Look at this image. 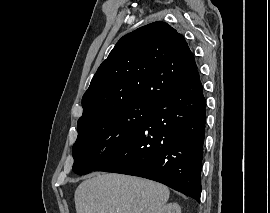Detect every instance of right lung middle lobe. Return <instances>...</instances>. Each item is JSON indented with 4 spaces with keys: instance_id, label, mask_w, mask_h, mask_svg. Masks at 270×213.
<instances>
[{
    "instance_id": "dd1d6c3e",
    "label": "right lung middle lobe",
    "mask_w": 270,
    "mask_h": 213,
    "mask_svg": "<svg viewBox=\"0 0 270 213\" xmlns=\"http://www.w3.org/2000/svg\"><path fill=\"white\" fill-rule=\"evenodd\" d=\"M154 106L135 101L79 122L72 170L78 175L94 171L139 130Z\"/></svg>"
}]
</instances>
